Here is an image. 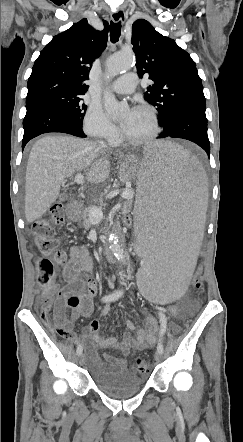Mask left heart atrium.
<instances>
[{"label":"left heart atrium","mask_w":243,"mask_h":442,"mask_svg":"<svg viewBox=\"0 0 243 442\" xmlns=\"http://www.w3.org/2000/svg\"><path fill=\"white\" fill-rule=\"evenodd\" d=\"M135 110L130 111V113H133Z\"/></svg>","instance_id":"left-heart-atrium-1"}]
</instances>
